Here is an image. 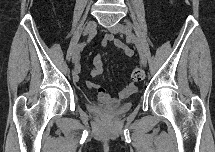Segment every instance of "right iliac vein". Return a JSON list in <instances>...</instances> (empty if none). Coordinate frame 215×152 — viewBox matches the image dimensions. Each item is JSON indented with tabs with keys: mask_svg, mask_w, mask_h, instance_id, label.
<instances>
[{
	"mask_svg": "<svg viewBox=\"0 0 215 152\" xmlns=\"http://www.w3.org/2000/svg\"><path fill=\"white\" fill-rule=\"evenodd\" d=\"M97 27V23L95 21H90L88 22L85 31H84V35L87 34H91L94 33ZM80 50L81 48L79 47V45L75 48L74 52H73V56H72V62L73 64H76L79 59H80Z\"/></svg>",
	"mask_w": 215,
	"mask_h": 152,
	"instance_id": "63e3f726",
	"label": "right iliac vein"
}]
</instances>
